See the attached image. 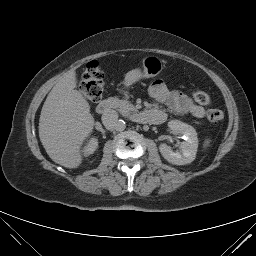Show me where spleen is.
Wrapping results in <instances>:
<instances>
[{"label":"spleen","instance_id":"3e777b00","mask_svg":"<svg viewBox=\"0 0 256 256\" xmlns=\"http://www.w3.org/2000/svg\"><path fill=\"white\" fill-rule=\"evenodd\" d=\"M210 143H211V139L210 138L205 139L203 147L207 148L210 145Z\"/></svg>","mask_w":256,"mask_h":256}]
</instances>
